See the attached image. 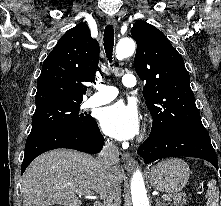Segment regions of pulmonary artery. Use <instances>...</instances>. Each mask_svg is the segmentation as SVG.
Returning <instances> with one entry per match:
<instances>
[{"mask_svg": "<svg viewBox=\"0 0 221 206\" xmlns=\"http://www.w3.org/2000/svg\"><path fill=\"white\" fill-rule=\"evenodd\" d=\"M122 83L125 87H135L137 80L133 74H125L122 77ZM95 88L97 93L89 99L88 103L90 106H100L109 103L118 95V90L113 86L97 84Z\"/></svg>", "mask_w": 221, "mask_h": 206, "instance_id": "obj_1", "label": "pulmonary artery"}]
</instances>
